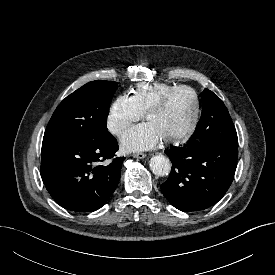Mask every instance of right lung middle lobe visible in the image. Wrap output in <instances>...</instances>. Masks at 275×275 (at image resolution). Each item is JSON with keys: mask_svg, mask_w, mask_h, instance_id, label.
<instances>
[{"mask_svg": "<svg viewBox=\"0 0 275 275\" xmlns=\"http://www.w3.org/2000/svg\"><path fill=\"white\" fill-rule=\"evenodd\" d=\"M117 87L114 81H92L67 96L53 113L43 142L92 141L107 136L109 103Z\"/></svg>", "mask_w": 275, "mask_h": 275, "instance_id": "1", "label": "right lung middle lobe"}]
</instances>
